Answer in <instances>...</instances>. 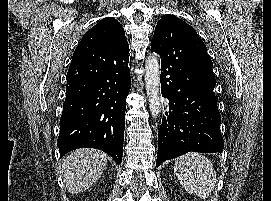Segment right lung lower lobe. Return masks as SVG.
I'll use <instances>...</instances> for the list:
<instances>
[{
    "label": "right lung lower lobe",
    "instance_id": "obj_1",
    "mask_svg": "<svg viewBox=\"0 0 271 201\" xmlns=\"http://www.w3.org/2000/svg\"><path fill=\"white\" fill-rule=\"evenodd\" d=\"M129 56L101 43H79L68 70L57 146L60 156L96 148L122 162Z\"/></svg>",
    "mask_w": 271,
    "mask_h": 201
}]
</instances>
